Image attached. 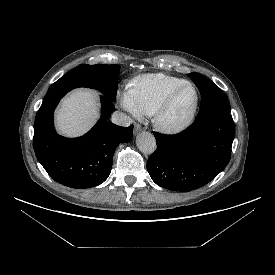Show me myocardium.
<instances>
[{"label": "myocardium", "instance_id": "f54148a6", "mask_svg": "<svg viewBox=\"0 0 275 275\" xmlns=\"http://www.w3.org/2000/svg\"><path fill=\"white\" fill-rule=\"evenodd\" d=\"M185 87L192 89L194 93V100L192 106L187 113V115L177 122H168L166 120V115L172 106V103L176 95ZM199 107V93L196 87L185 81L184 83L173 88L161 101V103L155 109L153 115V124L163 133L166 134H176L187 129L194 121Z\"/></svg>", "mask_w": 275, "mask_h": 275}]
</instances>
